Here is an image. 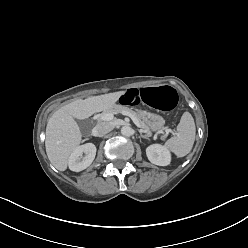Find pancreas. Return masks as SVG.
Here are the masks:
<instances>
[{
    "label": "pancreas",
    "instance_id": "obj_1",
    "mask_svg": "<svg viewBox=\"0 0 248 248\" xmlns=\"http://www.w3.org/2000/svg\"><path fill=\"white\" fill-rule=\"evenodd\" d=\"M122 112H127V113L133 115L137 119V121L139 122L141 128H143L146 132L150 131L149 126L141 119L140 115L128 107L115 104L112 107H110L109 109L105 110L103 112V114L104 113L118 114V113H122Z\"/></svg>",
    "mask_w": 248,
    "mask_h": 248
}]
</instances>
